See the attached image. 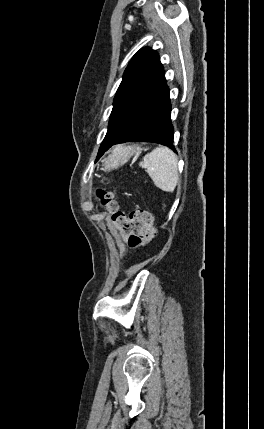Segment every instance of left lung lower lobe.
<instances>
[{
	"mask_svg": "<svg viewBox=\"0 0 264 429\" xmlns=\"http://www.w3.org/2000/svg\"><path fill=\"white\" fill-rule=\"evenodd\" d=\"M170 115L169 88L164 76L162 81L139 103L121 135L107 147L99 150L98 157L115 144L134 141L160 143L175 151L174 129Z\"/></svg>",
	"mask_w": 264,
	"mask_h": 429,
	"instance_id": "0a47b994",
	"label": "left lung lower lobe"
}]
</instances>
